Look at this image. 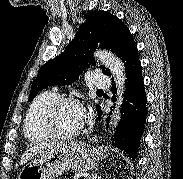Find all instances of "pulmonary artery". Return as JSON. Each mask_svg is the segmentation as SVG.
Instances as JSON below:
<instances>
[{"label":"pulmonary artery","instance_id":"pulmonary-artery-1","mask_svg":"<svg viewBox=\"0 0 183 179\" xmlns=\"http://www.w3.org/2000/svg\"><path fill=\"white\" fill-rule=\"evenodd\" d=\"M93 85L97 88H107L110 85V79L101 73H95L93 76Z\"/></svg>","mask_w":183,"mask_h":179}]
</instances>
